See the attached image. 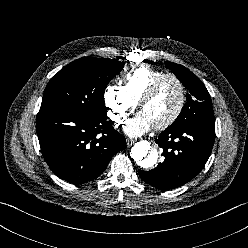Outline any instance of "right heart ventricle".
<instances>
[{
    "label": "right heart ventricle",
    "instance_id": "1",
    "mask_svg": "<svg viewBox=\"0 0 248 248\" xmlns=\"http://www.w3.org/2000/svg\"><path fill=\"white\" fill-rule=\"evenodd\" d=\"M163 74V71L147 65L134 67L123 76L122 88L129 99L137 104L151 83Z\"/></svg>",
    "mask_w": 248,
    "mask_h": 248
}]
</instances>
